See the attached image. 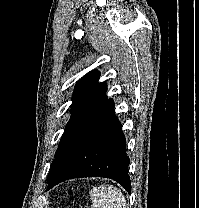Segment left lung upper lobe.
<instances>
[{
    "label": "left lung upper lobe",
    "instance_id": "1",
    "mask_svg": "<svg viewBox=\"0 0 199 208\" xmlns=\"http://www.w3.org/2000/svg\"><path fill=\"white\" fill-rule=\"evenodd\" d=\"M99 76L100 73L97 70L90 71L77 82L73 93L71 118L55 153V158L69 135L108 100L106 96L107 85L97 82ZM54 164L55 160L51 163L48 179L53 172Z\"/></svg>",
    "mask_w": 199,
    "mask_h": 208
}]
</instances>
